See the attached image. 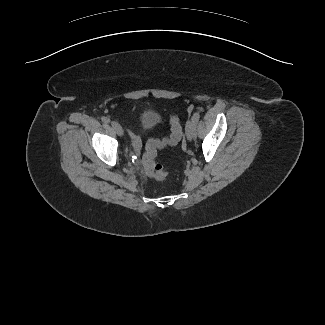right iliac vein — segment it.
<instances>
[{
	"label": "right iliac vein",
	"mask_w": 325,
	"mask_h": 325,
	"mask_svg": "<svg viewBox=\"0 0 325 325\" xmlns=\"http://www.w3.org/2000/svg\"><path fill=\"white\" fill-rule=\"evenodd\" d=\"M111 126L119 136L123 135V129L118 122L112 121Z\"/></svg>",
	"instance_id": "1"
}]
</instances>
